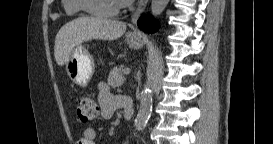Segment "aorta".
<instances>
[{
	"label": "aorta",
	"instance_id": "762f6f07",
	"mask_svg": "<svg viewBox=\"0 0 273 144\" xmlns=\"http://www.w3.org/2000/svg\"><path fill=\"white\" fill-rule=\"evenodd\" d=\"M169 0H152L151 1V14L158 18L164 11ZM151 81H148L144 85L141 92V102L137 117L135 119V127L138 131L144 130L152 111V91H151Z\"/></svg>",
	"mask_w": 273,
	"mask_h": 144
}]
</instances>
